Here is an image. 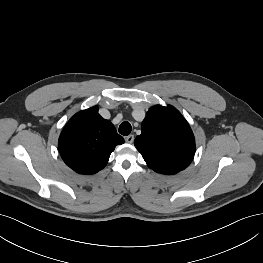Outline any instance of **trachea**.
I'll return each mask as SVG.
<instances>
[{
    "mask_svg": "<svg viewBox=\"0 0 263 263\" xmlns=\"http://www.w3.org/2000/svg\"><path fill=\"white\" fill-rule=\"evenodd\" d=\"M131 130H132L131 124L127 121L122 122L119 126V133L124 136L129 135L131 133Z\"/></svg>",
    "mask_w": 263,
    "mask_h": 263,
    "instance_id": "obj_1",
    "label": "trachea"
}]
</instances>
